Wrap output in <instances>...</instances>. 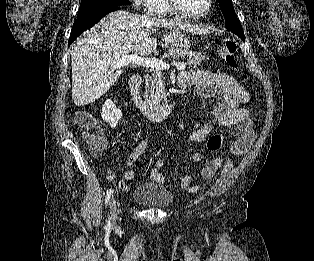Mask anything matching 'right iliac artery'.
Segmentation results:
<instances>
[{"instance_id": "obj_1", "label": "right iliac artery", "mask_w": 314, "mask_h": 261, "mask_svg": "<svg viewBox=\"0 0 314 261\" xmlns=\"http://www.w3.org/2000/svg\"><path fill=\"white\" fill-rule=\"evenodd\" d=\"M112 193H113V190H112V189H109V190L107 191V194H106V197H105V204H106V205H108ZM110 226H111V224H110V220H109V221H108V224H107V227L110 228Z\"/></svg>"}]
</instances>
